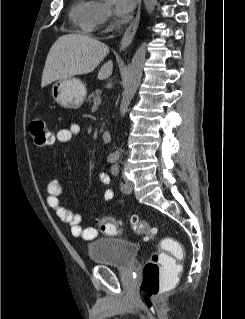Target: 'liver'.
<instances>
[{
  "instance_id": "obj_1",
  "label": "liver",
  "mask_w": 245,
  "mask_h": 319,
  "mask_svg": "<svg viewBox=\"0 0 245 319\" xmlns=\"http://www.w3.org/2000/svg\"><path fill=\"white\" fill-rule=\"evenodd\" d=\"M108 53L107 45L87 35H62L47 55L41 87L44 88L56 80L92 72ZM112 70L113 62L110 60L99 70L98 79L108 78Z\"/></svg>"
}]
</instances>
